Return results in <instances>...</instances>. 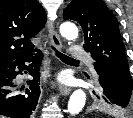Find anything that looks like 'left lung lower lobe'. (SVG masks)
Segmentation results:
<instances>
[{
  "instance_id": "0a47b994",
  "label": "left lung lower lobe",
  "mask_w": 133,
  "mask_h": 118,
  "mask_svg": "<svg viewBox=\"0 0 133 118\" xmlns=\"http://www.w3.org/2000/svg\"><path fill=\"white\" fill-rule=\"evenodd\" d=\"M99 75V83L103 88V98L109 105L127 107L132 98V87L118 79L101 64L94 63Z\"/></svg>"
}]
</instances>
